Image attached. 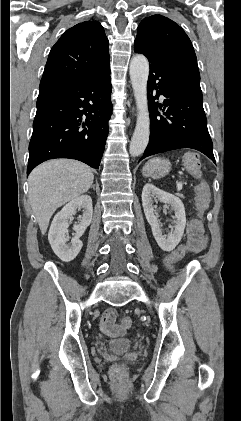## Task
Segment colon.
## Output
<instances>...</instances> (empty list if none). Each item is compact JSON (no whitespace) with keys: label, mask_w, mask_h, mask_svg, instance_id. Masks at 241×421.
I'll return each mask as SVG.
<instances>
[{"label":"colon","mask_w":241,"mask_h":421,"mask_svg":"<svg viewBox=\"0 0 241 421\" xmlns=\"http://www.w3.org/2000/svg\"><path fill=\"white\" fill-rule=\"evenodd\" d=\"M185 164L188 170L197 177L201 176L200 171V160L197 154L191 153L186 156ZM210 202V188L208 184L201 181L196 187V209L198 216H202L204 211L207 209ZM186 254V246L180 245L166 258V265L172 269L173 265L181 260ZM121 324L125 326L131 325V319L128 316H124L121 319ZM112 373L119 377L122 373L120 365H114L112 367Z\"/></svg>","instance_id":"5ec220e1"}]
</instances>
